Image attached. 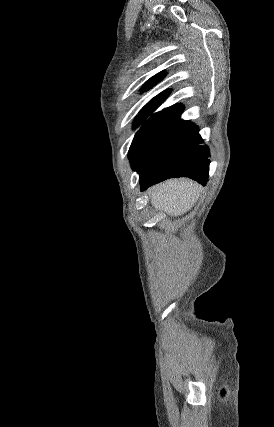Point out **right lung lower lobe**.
<instances>
[{
    "label": "right lung lower lobe",
    "instance_id": "right-lung-lower-lobe-1",
    "mask_svg": "<svg viewBox=\"0 0 274 427\" xmlns=\"http://www.w3.org/2000/svg\"><path fill=\"white\" fill-rule=\"evenodd\" d=\"M181 105H175L159 136L143 159L133 167L140 175L141 191L171 177H189L205 185L208 180L209 150L198 128L180 119Z\"/></svg>",
    "mask_w": 274,
    "mask_h": 427
}]
</instances>
